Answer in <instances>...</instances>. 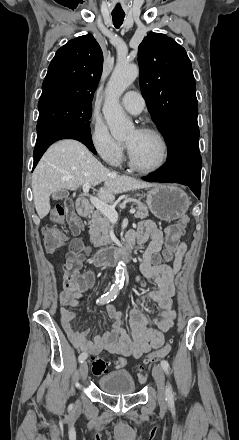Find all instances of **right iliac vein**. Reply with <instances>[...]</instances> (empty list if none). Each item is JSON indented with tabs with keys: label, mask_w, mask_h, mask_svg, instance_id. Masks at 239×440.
<instances>
[{
	"label": "right iliac vein",
	"mask_w": 239,
	"mask_h": 440,
	"mask_svg": "<svg viewBox=\"0 0 239 440\" xmlns=\"http://www.w3.org/2000/svg\"><path fill=\"white\" fill-rule=\"evenodd\" d=\"M79 371H80L81 379H82L83 381H85L86 378H87V376H88V365H87L86 362H82V363H81L80 368H79Z\"/></svg>",
	"instance_id": "63e3f726"
}]
</instances>
